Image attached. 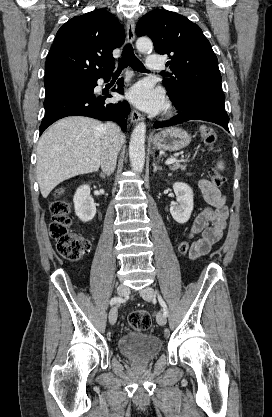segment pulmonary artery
I'll use <instances>...</instances> for the list:
<instances>
[{
    "label": "pulmonary artery",
    "instance_id": "1",
    "mask_svg": "<svg viewBox=\"0 0 272 417\" xmlns=\"http://www.w3.org/2000/svg\"><path fill=\"white\" fill-rule=\"evenodd\" d=\"M147 67L150 70H160L163 68V61L158 55H149L147 58Z\"/></svg>",
    "mask_w": 272,
    "mask_h": 417
}]
</instances>
